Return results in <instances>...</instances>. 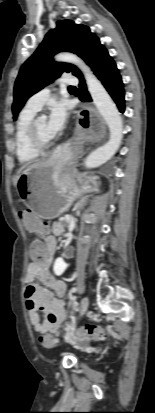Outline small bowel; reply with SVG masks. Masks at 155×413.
Returning a JSON list of instances; mask_svg holds the SVG:
<instances>
[{
    "instance_id": "obj_1",
    "label": "small bowel",
    "mask_w": 155,
    "mask_h": 413,
    "mask_svg": "<svg viewBox=\"0 0 155 413\" xmlns=\"http://www.w3.org/2000/svg\"><path fill=\"white\" fill-rule=\"evenodd\" d=\"M18 216L23 218V227H27L28 231H39L42 234L46 232L45 218H36L32 209H20ZM44 241L47 257L41 263L33 261L28 265L24 295L34 330L41 335L50 334L54 338L68 318L66 303L63 300L66 284L49 270L50 259L55 250L54 237L46 236ZM35 280L40 283H34ZM40 312L43 313L42 320Z\"/></svg>"
}]
</instances>
